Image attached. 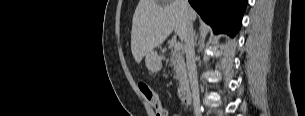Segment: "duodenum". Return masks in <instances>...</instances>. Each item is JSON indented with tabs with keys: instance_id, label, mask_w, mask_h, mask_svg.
<instances>
[{
	"instance_id": "1",
	"label": "duodenum",
	"mask_w": 305,
	"mask_h": 116,
	"mask_svg": "<svg viewBox=\"0 0 305 116\" xmlns=\"http://www.w3.org/2000/svg\"><path fill=\"white\" fill-rule=\"evenodd\" d=\"M179 98L182 104L188 105L191 102V89L188 81H184L178 90Z\"/></svg>"
}]
</instances>
